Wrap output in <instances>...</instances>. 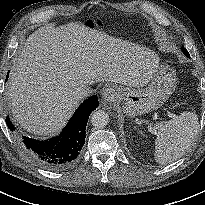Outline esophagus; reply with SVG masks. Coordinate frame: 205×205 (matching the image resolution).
<instances>
[{"label": "esophagus", "instance_id": "34e87169", "mask_svg": "<svg viewBox=\"0 0 205 205\" xmlns=\"http://www.w3.org/2000/svg\"><path fill=\"white\" fill-rule=\"evenodd\" d=\"M101 95L103 104L114 102L117 99V92L112 87H104L102 89Z\"/></svg>", "mask_w": 205, "mask_h": 205}]
</instances>
